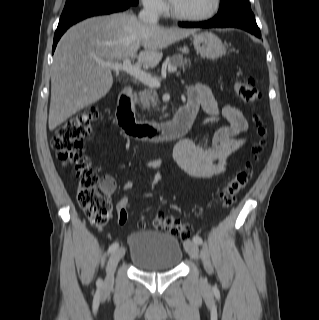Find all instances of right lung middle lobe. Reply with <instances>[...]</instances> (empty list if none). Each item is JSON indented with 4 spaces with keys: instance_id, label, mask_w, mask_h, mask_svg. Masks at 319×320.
<instances>
[{
    "instance_id": "right-lung-middle-lobe-1",
    "label": "right lung middle lobe",
    "mask_w": 319,
    "mask_h": 320,
    "mask_svg": "<svg viewBox=\"0 0 319 320\" xmlns=\"http://www.w3.org/2000/svg\"><path fill=\"white\" fill-rule=\"evenodd\" d=\"M108 2H128L135 5L138 4V0H66V4L60 19H63L90 6Z\"/></svg>"
}]
</instances>
